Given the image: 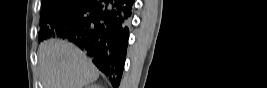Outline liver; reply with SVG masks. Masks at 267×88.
Wrapping results in <instances>:
<instances>
[{
    "mask_svg": "<svg viewBox=\"0 0 267 88\" xmlns=\"http://www.w3.org/2000/svg\"><path fill=\"white\" fill-rule=\"evenodd\" d=\"M37 54L42 88H83L99 77L93 63L67 41L46 40Z\"/></svg>",
    "mask_w": 267,
    "mask_h": 88,
    "instance_id": "liver-1",
    "label": "liver"
}]
</instances>
